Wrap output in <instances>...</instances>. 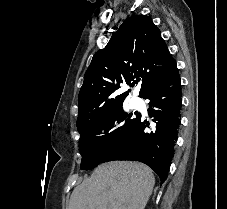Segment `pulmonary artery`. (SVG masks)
<instances>
[{
  "mask_svg": "<svg viewBox=\"0 0 227 209\" xmlns=\"http://www.w3.org/2000/svg\"><path fill=\"white\" fill-rule=\"evenodd\" d=\"M130 95L133 96L131 97L130 99V102L132 103L133 106H139L140 103L143 101V98L142 97H137V92L136 91H131L130 92Z\"/></svg>",
  "mask_w": 227,
  "mask_h": 209,
  "instance_id": "obj_1",
  "label": "pulmonary artery"
}]
</instances>
